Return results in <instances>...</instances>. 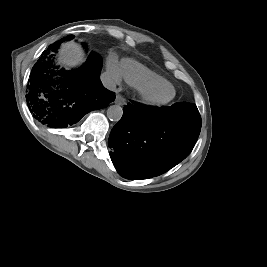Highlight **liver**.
Here are the masks:
<instances>
[{"instance_id":"1","label":"liver","mask_w":267,"mask_h":267,"mask_svg":"<svg viewBox=\"0 0 267 267\" xmlns=\"http://www.w3.org/2000/svg\"><path fill=\"white\" fill-rule=\"evenodd\" d=\"M84 60L82 48L75 42L63 43L59 50V62L67 67H75Z\"/></svg>"}]
</instances>
